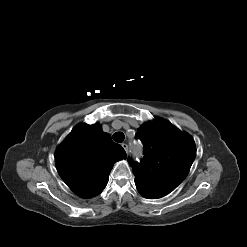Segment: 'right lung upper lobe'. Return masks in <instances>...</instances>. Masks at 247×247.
<instances>
[{
	"label": "right lung upper lobe",
	"mask_w": 247,
	"mask_h": 247,
	"mask_svg": "<svg viewBox=\"0 0 247 247\" xmlns=\"http://www.w3.org/2000/svg\"><path fill=\"white\" fill-rule=\"evenodd\" d=\"M101 125L79 124L55 153L57 171L68 187L82 198L100 194L106 187L113 164L126 159Z\"/></svg>",
	"instance_id": "1"
}]
</instances>
